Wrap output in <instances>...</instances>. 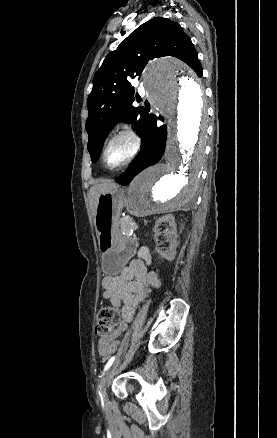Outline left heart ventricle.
Wrapping results in <instances>:
<instances>
[{"instance_id": "1", "label": "left heart ventricle", "mask_w": 277, "mask_h": 438, "mask_svg": "<svg viewBox=\"0 0 277 438\" xmlns=\"http://www.w3.org/2000/svg\"><path fill=\"white\" fill-rule=\"evenodd\" d=\"M130 147L131 144L128 139H119L113 142L106 152L107 163L110 166H115L121 163L127 157Z\"/></svg>"}]
</instances>
